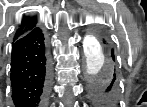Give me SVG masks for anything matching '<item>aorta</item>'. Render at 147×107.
I'll return each instance as SVG.
<instances>
[{"label": "aorta", "instance_id": "aorta-1", "mask_svg": "<svg viewBox=\"0 0 147 107\" xmlns=\"http://www.w3.org/2000/svg\"><path fill=\"white\" fill-rule=\"evenodd\" d=\"M85 56L87 73L92 79L107 78L112 74L111 61L107 53L92 37L85 41Z\"/></svg>", "mask_w": 147, "mask_h": 107}]
</instances>
